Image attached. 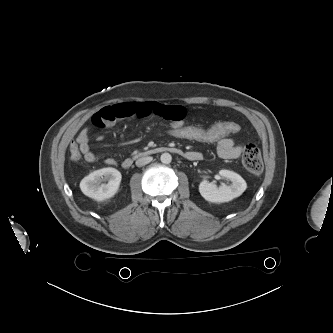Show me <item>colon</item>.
Listing matches in <instances>:
<instances>
[{"mask_svg": "<svg viewBox=\"0 0 333 333\" xmlns=\"http://www.w3.org/2000/svg\"><path fill=\"white\" fill-rule=\"evenodd\" d=\"M240 130L239 125L233 121H219L208 127L173 124L165 128V133L177 139H186L205 143H217L218 141L233 136ZM70 159L78 161L81 159V151L76 143L69 147ZM242 163L246 170L253 174H260L263 169L261 153L257 145L247 144L242 154Z\"/></svg>", "mask_w": 333, "mask_h": 333, "instance_id": "colon-1", "label": "colon"}]
</instances>
